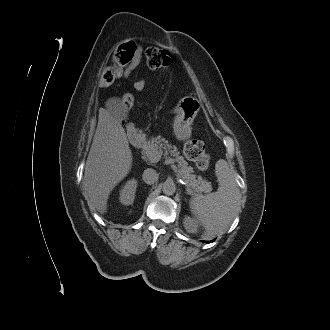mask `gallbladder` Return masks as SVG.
<instances>
[{"mask_svg": "<svg viewBox=\"0 0 330 330\" xmlns=\"http://www.w3.org/2000/svg\"><path fill=\"white\" fill-rule=\"evenodd\" d=\"M115 115H117L120 120L127 119V110H126V108L122 104H120L118 106V108L116 109Z\"/></svg>", "mask_w": 330, "mask_h": 330, "instance_id": "bac80fb5", "label": "gallbladder"}]
</instances>
